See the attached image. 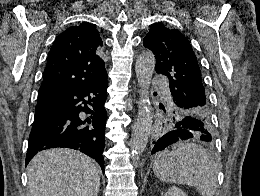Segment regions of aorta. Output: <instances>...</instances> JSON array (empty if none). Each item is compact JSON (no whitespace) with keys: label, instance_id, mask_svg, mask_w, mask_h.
I'll return each mask as SVG.
<instances>
[{"label":"aorta","instance_id":"762f6f07","mask_svg":"<svg viewBox=\"0 0 260 196\" xmlns=\"http://www.w3.org/2000/svg\"><path fill=\"white\" fill-rule=\"evenodd\" d=\"M155 69V56L152 52L139 55L135 64L137 82L141 89V106L137 118L132 126L130 142L131 154L134 161L144 152L152 128V111L148 99L152 75Z\"/></svg>","mask_w":260,"mask_h":196}]
</instances>
